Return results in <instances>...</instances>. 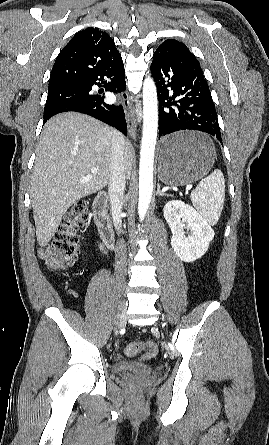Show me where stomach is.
<instances>
[{
	"label": "stomach",
	"instance_id": "1",
	"mask_svg": "<svg viewBox=\"0 0 269 445\" xmlns=\"http://www.w3.org/2000/svg\"><path fill=\"white\" fill-rule=\"evenodd\" d=\"M175 147L167 150L168 146ZM216 157L214 144L198 132L183 131L161 141L158 177L166 185L184 186L202 178Z\"/></svg>",
	"mask_w": 269,
	"mask_h": 445
}]
</instances>
